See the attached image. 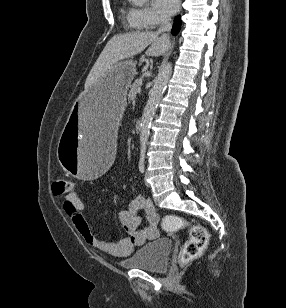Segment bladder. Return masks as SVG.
I'll return each mask as SVG.
<instances>
[{
	"label": "bladder",
	"mask_w": 286,
	"mask_h": 308,
	"mask_svg": "<svg viewBox=\"0 0 286 308\" xmlns=\"http://www.w3.org/2000/svg\"><path fill=\"white\" fill-rule=\"evenodd\" d=\"M171 241L160 238L149 242L130 256L121 260V264L130 269H143L152 272L164 271L168 268L169 254L171 251Z\"/></svg>",
	"instance_id": "bladder-1"
}]
</instances>
